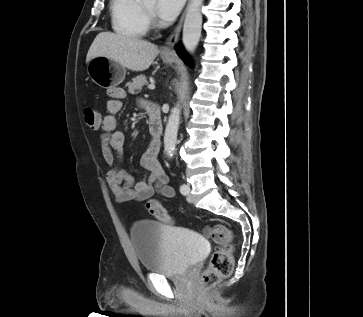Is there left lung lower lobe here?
<instances>
[{
  "mask_svg": "<svg viewBox=\"0 0 363 317\" xmlns=\"http://www.w3.org/2000/svg\"><path fill=\"white\" fill-rule=\"evenodd\" d=\"M177 53L179 54V56L183 59V61H185V63L187 65H190L189 59L187 57V55L185 54L184 49L181 46L177 47Z\"/></svg>",
  "mask_w": 363,
  "mask_h": 317,
  "instance_id": "obj_1",
  "label": "left lung lower lobe"
}]
</instances>
